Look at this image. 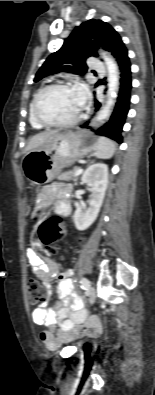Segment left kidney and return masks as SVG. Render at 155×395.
I'll return each instance as SVG.
<instances>
[{
	"label": "left kidney",
	"mask_w": 155,
	"mask_h": 395,
	"mask_svg": "<svg viewBox=\"0 0 155 395\" xmlns=\"http://www.w3.org/2000/svg\"><path fill=\"white\" fill-rule=\"evenodd\" d=\"M81 181L92 191L87 210L80 203L75 202V227L83 231L94 223L100 212L108 187V166L103 163H95L89 166L83 173Z\"/></svg>",
	"instance_id": "1"
}]
</instances>
